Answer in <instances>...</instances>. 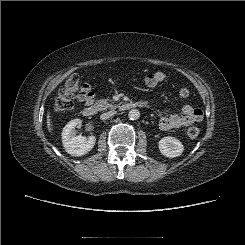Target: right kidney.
I'll return each mask as SVG.
<instances>
[{"mask_svg": "<svg viewBox=\"0 0 245 245\" xmlns=\"http://www.w3.org/2000/svg\"><path fill=\"white\" fill-rule=\"evenodd\" d=\"M81 124L80 119L71 120L62 131V142L65 151L71 156H83L87 154L95 145L96 137L90 136L88 139L81 135H75V127Z\"/></svg>", "mask_w": 245, "mask_h": 245, "instance_id": "ca27d5eb", "label": "right kidney"}]
</instances>
